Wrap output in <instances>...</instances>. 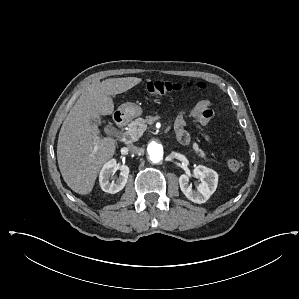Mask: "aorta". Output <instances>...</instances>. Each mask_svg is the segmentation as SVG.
<instances>
[{"label": "aorta", "instance_id": "aorta-1", "mask_svg": "<svg viewBox=\"0 0 299 299\" xmlns=\"http://www.w3.org/2000/svg\"><path fill=\"white\" fill-rule=\"evenodd\" d=\"M146 153L149 161L157 164L162 161L165 149L159 141L152 140L146 146Z\"/></svg>", "mask_w": 299, "mask_h": 299}]
</instances>
